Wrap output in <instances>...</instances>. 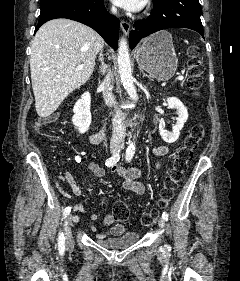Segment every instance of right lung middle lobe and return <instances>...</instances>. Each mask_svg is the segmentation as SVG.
Listing matches in <instances>:
<instances>
[{
    "label": "right lung middle lobe",
    "instance_id": "dd1d6c3e",
    "mask_svg": "<svg viewBox=\"0 0 240 281\" xmlns=\"http://www.w3.org/2000/svg\"><path fill=\"white\" fill-rule=\"evenodd\" d=\"M49 1H51V0H40V5L43 3L49 2Z\"/></svg>",
    "mask_w": 240,
    "mask_h": 281
}]
</instances>
